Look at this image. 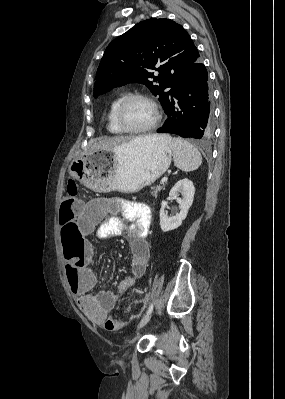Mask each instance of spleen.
I'll return each mask as SVG.
<instances>
[{"instance_id":"spleen-1","label":"spleen","mask_w":285,"mask_h":399,"mask_svg":"<svg viewBox=\"0 0 285 399\" xmlns=\"http://www.w3.org/2000/svg\"><path fill=\"white\" fill-rule=\"evenodd\" d=\"M170 139L175 166L185 172L198 169L202 164V156L198 149L181 137Z\"/></svg>"}]
</instances>
